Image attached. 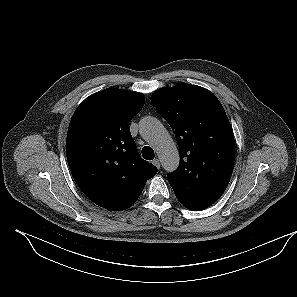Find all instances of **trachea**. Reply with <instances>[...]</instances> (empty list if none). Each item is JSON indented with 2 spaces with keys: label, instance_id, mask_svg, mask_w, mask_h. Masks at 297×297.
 Here are the masks:
<instances>
[{
  "label": "trachea",
  "instance_id": "trachea-1",
  "mask_svg": "<svg viewBox=\"0 0 297 297\" xmlns=\"http://www.w3.org/2000/svg\"><path fill=\"white\" fill-rule=\"evenodd\" d=\"M142 156L146 160H153L155 157L154 150L149 146H144L142 149Z\"/></svg>",
  "mask_w": 297,
  "mask_h": 297
}]
</instances>
